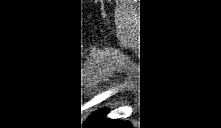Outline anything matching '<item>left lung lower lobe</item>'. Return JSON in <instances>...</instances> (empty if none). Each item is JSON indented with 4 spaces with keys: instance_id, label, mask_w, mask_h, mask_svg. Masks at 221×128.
I'll use <instances>...</instances> for the list:
<instances>
[{
    "instance_id": "obj_1",
    "label": "left lung lower lobe",
    "mask_w": 221,
    "mask_h": 128,
    "mask_svg": "<svg viewBox=\"0 0 221 128\" xmlns=\"http://www.w3.org/2000/svg\"><path fill=\"white\" fill-rule=\"evenodd\" d=\"M107 110H97L86 115L82 121L78 118L76 126L81 128H131L133 124L123 119H108L105 117Z\"/></svg>"
}]
</instances>
